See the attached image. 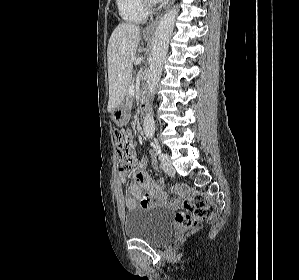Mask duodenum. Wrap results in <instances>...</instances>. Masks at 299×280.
Here are the masks:
<instances>
[{
  "label": "duodenum",
  "instance_id": "1",
  "mask_svg": "<svg viewBox=\"0 0 299 280\" xmlns=\"http://www.w3.org/2000/svg\"><path fill=\"white\" fill-rule=\"evenodd\" d=\"M140 106H141L142 112H146V110H147V102H146V99L143 98V97L140 99Z\"/></svg>",
  "mask_w": 299,
  "mask_h": 280
}]
</instances>
